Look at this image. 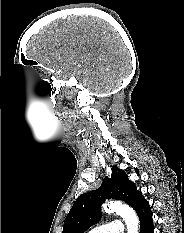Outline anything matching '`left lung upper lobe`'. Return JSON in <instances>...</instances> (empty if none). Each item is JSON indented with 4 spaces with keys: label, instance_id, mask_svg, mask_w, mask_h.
I'll return each mask as SVG.
<instances>
[{
    "label": "left lung upper lobe",
    "instance_id": "left-lung-upper-lobe-1",
    "mask_svg": "<svg viewBox=\"0 0 184 233\" xmlns=\"http://www.w3.org/2000/svg\"><path fill=\"white\" fill-rule=\"evenodd\" d=\"M142 197L136 186L131 182L125 171L116 165L112 168L111 178L105 177L102 185L94 190L80 195L67 214L62 233H84L102 217L101 205L105 199L122 200L130 206Z\"/></svg>",
    "mask_w": 184,
    "mask_h": 233
}]
</instances>
